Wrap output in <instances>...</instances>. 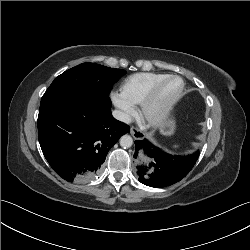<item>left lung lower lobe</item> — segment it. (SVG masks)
Returning a JSON list of instances; mask_svg holds the SVG:
<instances>
[{
    "instance_id": "1",
    "label": "left lung lower lobe",
    "mask_w": 250,
    "mask_h": 250,
    "mask_svg": "<svg viewBox=\"0 0 250 250\" xmlns=\"http://www.w3.org/2000/svg\"><path fill=\"white\" fill-rule=\"evenodd\" d=\"M199 151L189 156H176L163 152L147 139L135 141L134 158L137 159L139 181L151 187H165L183 179L193 168Z\"/></svg>"
}]
</instances>
